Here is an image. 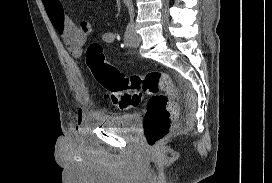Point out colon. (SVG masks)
Returning <instances> with one entry per match:
<instances>
[{
	"mask_svg": "<svg viewBox=\"0 0 272 183\" xmlns=\"http://www.w3.org/2000/svg\"><path fill=\"white\" fill-rule=\"evenodd\" d=\"M86 62L105 97L120 109L136 107L143 93L150 95L144 134L149 146H157L169 134L178 112L177 91L170 75L161 71L125 74L105 61L103 49L97 43L87 49Z\"/></svg>",
	"mask_w": 272,
	"mask_h": 183,
	"instance_id": "colon-1",
	"label": "colon"
}]
</instances>
